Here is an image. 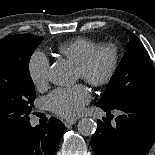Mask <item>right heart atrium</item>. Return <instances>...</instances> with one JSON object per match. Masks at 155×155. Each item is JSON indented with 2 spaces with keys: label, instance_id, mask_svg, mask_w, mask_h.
<instances>
[{
  "label": "right heart atrium",
  "instance_id": "d8ad5b80",
  "mask_svg": "<svg viewBox=\"0 0 155 155\" xmlns=\"http://www.w3.org/2000/svg\"><path fill=\"white\" fill-rule=\"evenodd\" d=\"M28 75L32 84L37 88H43L48 81L49 60L42 52L36 51L29 59Z\"/></svg>",
  "mask_w": 155,
  "mask_h": 155
}]
</instances>
